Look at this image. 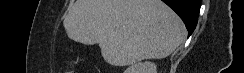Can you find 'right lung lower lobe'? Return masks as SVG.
Wrapping results in <instances>:
<instances>
[{
	"instance_id": "1",
	"label": "right lung lower lobe",
	"mask_w": 244,
	"mask_h": 73,
	"mask_svg": "<svg viewBox=\"0 0 244 73\" xmlns=\"http://www.w3.org/2000/svg\"><path fill=\"white\" fill-rule=\"evenodd\" d=\"M183 20L190 36L198 22L201 0H162Z\"/></svg>"
}]
</instances>
